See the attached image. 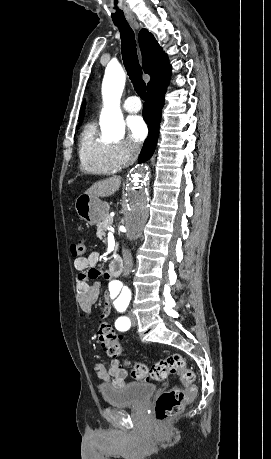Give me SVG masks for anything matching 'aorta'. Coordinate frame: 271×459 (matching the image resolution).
Returning a JSON list of instances; mask_svg holds the SVG:
<instances>
[{"mask_svg":"<svg viewBox=\"0 0 271 459\" xmlns=\"http://www.w3.org/2000/svg\"><path fill=\"white\" fill-rule=\"evenodd\" d=\"M124 85L125 73L122 69L106 70L102 83L104 107L100 116V126L103 135L111 140H119L125 133L120 109ZM121 213L127 239H138L150 214V171L146 165H137L129 172L121 200ZM109 288L115 292L122 288V284L112 280Z\"/></svg>","mask_w":271,"mask_h":459,"instance_id":"aorta-1","label":"aorta"}]
</instances>
